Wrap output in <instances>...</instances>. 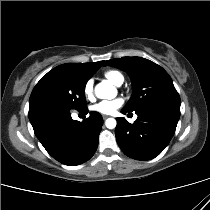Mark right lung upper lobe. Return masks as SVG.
<instances>
[{
  "instance_id": "1",
  "label": "right lung upper lobe",
  "mask_w": 210,
  "mask_h": 210,
  "mask_svg": "<svg viewBox=\"0 0 210 210\" xmlns=\"http://www.w3.org/2000/svg\"><path fill=\"white\" fill-rule=\"evenodd\" d=\"M104 63L99 61L95 63H66L54 68L55 70H67L78 76L90 78Z\"/></svg>"
}]
</instances>
